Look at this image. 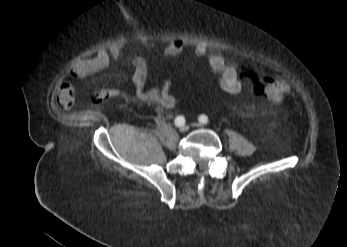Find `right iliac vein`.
<instances>
[{
	"instance_id": "63e3f726",
	"label": "right iliac vein",
	"mask_w": 347,
	"mask_h": 247,
	"mask_svg": "<svg viewBox=\"0 0 347 247\" xmlns=\"http://www.w3.org/2000/svg\"><path fill=\"white\" fill-rule=\"evenodd\" d=\"M187 130H188V127H187V126H181V127H180V131H181L182 133L187 132Z\"/></svg>"
}]
</instances>
